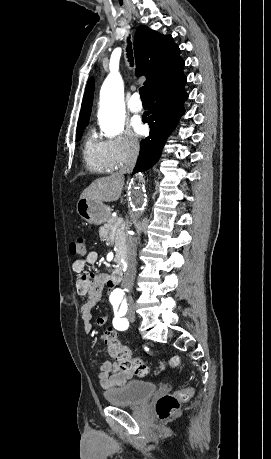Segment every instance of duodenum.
Here are the masks:
<instances>
[{"label":"duodenum","instance_id":"1","mask_svg":"<svg viewBox=\"0 0 271 459\" xmlns=\"http://www.w3.org/2000/svg\"><path fill=\"white\" fill-rule=\"evenodd\" d=\"M123 279V268L118 265L110 275V283L113 285L119 284Z\"/></svg>","mask_w":271,"mask_h":459}]
</instances>
